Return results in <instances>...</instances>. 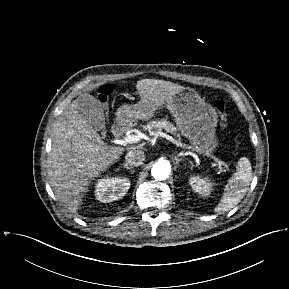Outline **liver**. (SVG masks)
Segmentation results:
<instances>
[{
  "label": "liver",
  "mask_w": 289,
  "mask_h": 289,
  "mask_svg": "<svg viewBox=\"0 0 289 289\" xmlns=\"http://www.w3.org/2000/svg\"><path fill=\"white\" fill-rule=\"evenodd\" d=\"M136 89L147 107L155 111L184 87L170 81L142 79ZM79 98L58 118L48 160V176L56 197L74 210L92 180L132 148L107 145L79 112Z\"/></svg>",
  "instance_id": "1"
}]
</instances>
